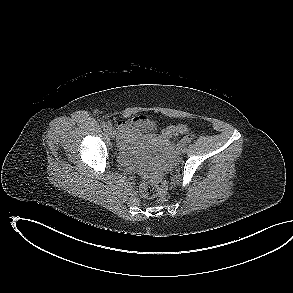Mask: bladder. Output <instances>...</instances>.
Instances as JSON below:
<instances>
[{"mask_svg": "<svg viewBox=\"0 0 293 293\" xmlns=\"http://www.w3.org/2000/svg\"><path fill=\"white\" fill-rule=\"evenodd\" d=\"M154 130V125L151 122L145 121L140 126H137V130L134 131L135 136H139L140 133H150Z\"/></svg>", "mask_w": 293, "mask_h": 293, "instance_id": "bladder-1", "label": "bladder"}]
</instances>
